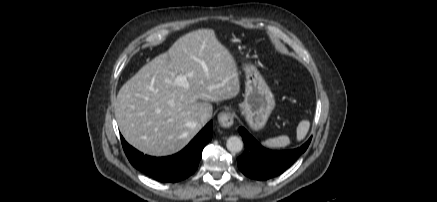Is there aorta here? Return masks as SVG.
<instances>
[{"mask_svg":"<svg viewBox=\"0 0 437 202\" xmlns=\"http://www.w3.org/2000/svg\"><path fill=\"white\" fill-rule=\"evenodd\" d=\"M226 147L230 152L238 153L243 148V142L239 137L231 136L227 139Z\"/></svg>","mask_w":437,"mask_h":202,"instance_id":"1","label":"aorta"}]
</instances>
